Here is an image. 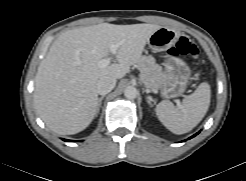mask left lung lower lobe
<instances>
[{"mask_svg": "<svg viewBox=\"0 0 246 181\" xmlns=\"http://www.w3.org/2000/svg\"><path fill=\"white\" fill-rule=\"evenodd\" d=\"M197 134H198V133L194 134L192 137L196 136ZM192 137H190V138H192Z\"/></svg>", "mask_w": 246, "mask_h": 181, "instance_id": "left-lung-lower-lobe-1", "label": "left lung lower lobe"}]
</instances>
